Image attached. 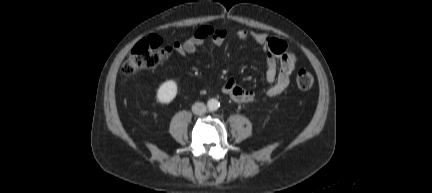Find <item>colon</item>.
<instances>
[{
	"label": "colon",
	"mask_w": 432,
	"mask_h": 193,
	"mask_svg": "<svg viewBox=\"0 0 432 193\" xmlns=\"http://www.w3.org/2000/svg\"><path fill=\"white\" fill-rule=\"evenodd\" d=\"M170 54L171 48L165 46L158 36H149L133 47L122 65V72L126 75H136L152 69L167 60ZM296 84L301 90H308L313 86L314 78L308 71L300 70L296 75Z\"/></svg>",
	"instance_id": "obj_1"
}]
</instances>
